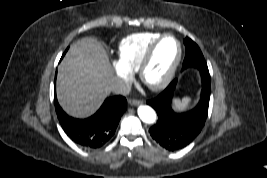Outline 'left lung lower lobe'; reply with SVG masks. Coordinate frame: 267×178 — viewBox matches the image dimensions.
Wrapping results in <instances>:
<instances>
[{
	"label": "left lung lower lobe",
	"instance_id": "obj_1",
	"mask_svg": "<svg viewBox=\"0 0 267 178\" xmlns=\"http://www.w3.org/2000/svg\"><path fill=\"white\" fill-rule=\"evenodd\" d=\"M200 74L202 80L200 100L193 109L181 113L172 109V97L177 80L172 81L157 97L147 101L158 115L157 122L149 129L150 135L169 151L179 150L190 144L205 124L209 108L211 78L208 70H200Z\"/></svg>",
	"mask_w": 267,
	"mask_h": 178
}]
</instances>
